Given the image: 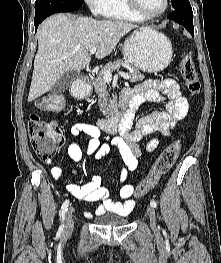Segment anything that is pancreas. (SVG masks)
<instances>
[{
	"instance_id": "cf45deb5",
	"label": "pancreas",
	"mask_w": 221,
	"mask_h": 263,
	"mask_svg": "<svg viewBox=\"0 0 221 263\" xmlns=\"http://www.w3.org/2000/svg\"><path fill=\"white\" fill-rule=\"evenodd\" d=\"M124 67L128 69V75L130 77V82L136 83L142 81L145 76L140 73L138 69L128 64L127 62H123L121 60L115 62L107 63L97 74V77L93 81V85L95 88V92L98 95V104L100 105V110L105 116H111L114 114L113 105L115 104L114 99L108 100V91H107V81L103 78V73L107 70L115 71L119 70L120 67Z\"/></svg>"
}]
</instances>
